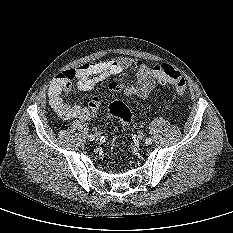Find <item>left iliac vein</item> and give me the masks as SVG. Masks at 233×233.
<instances>
[{
  "label": "left iliac vein",
  "instance_id": "1",
  "mask_svg": "<svg viewBox=\"0 0 233 233\" xmlns=\"http://www.w3.org/2000/svg\"><path fill=\"white\" fill-rule=\"evenodd\" d=\"M136 140L137 141H142L143 140V134L142 133H139L136 135Z\"/></svg>",
  "mask_w": 233,
  "mask_h": 233
}]
</instances>
